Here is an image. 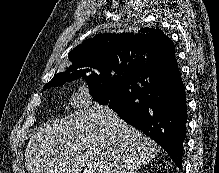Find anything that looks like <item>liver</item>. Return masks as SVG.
<instances>
[{
	"mask_svg": "<svg viewBox=\"0 0 219 173\" xmlns=\"http://www.w3.org/2000/svg\"><path fill=\"white\" fill-rule=\"evenodd\" d=\"M158 145L107 106L94 104L37 128L25 152L29 173H135Z\"/></svg>",
	"mask_w": 219,
	"mask_h": 173,
	"instance_id": "liver-1",
	"label": "liver"
}]
</instances>
